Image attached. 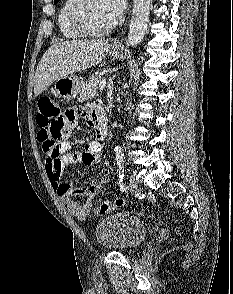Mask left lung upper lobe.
I'll return each mask as SVG.
<instances>
[{
    "label": "left lung upper lobe",
    "instance_id": "1",
    "mask_svg": "<svg viewBox=\"0 0 233 294\" xmlns=\"http://www.w3.org/2000/svg\"><path fill=\"white\" fill-rule=\"evenodd\" d=\"M59 0H54V4H56Z\"/></svg>",
    "mask_w": 233,
    "mask_h": 294
}]
</instances>
